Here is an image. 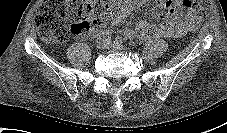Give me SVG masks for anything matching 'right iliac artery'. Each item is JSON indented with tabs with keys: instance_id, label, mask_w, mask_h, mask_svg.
Segmentation results:
<instances>
[{
	"instance_id": "obj_1",
	"label": "right iliac artery",
	"mask_w": 227,
	"mask_h": 133,
	"mask_svg": "<svg viewBox=\"0 0 227 133\" xmlns=\"http://www.w3.org/2000/svg\"><path fill=\"white\" fill-rule=\"evenodd\" d=\"M103 40H105L108 44L111 42V38L109 36H105Z\"/></svg>"
}]
</instances>
